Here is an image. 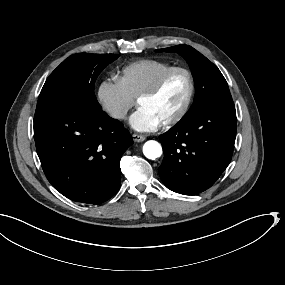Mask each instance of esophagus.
<instances>
[{
	"label": "esophagus",
	"instance_id": "obj_1",
	"mask_svg": "<svg viewBox=\"0 0 285 285\" xmlns=\"http://www.w3.org/2000/svg\"><path fill=\"white\" fill-rule=\"evenodd\" d=\"M132 138L135 142H142L146 139L145 136L139 134H133Z\"/></svg>",
	"mask_w": 285,
	"mask_h": 285
}]
</instances>
